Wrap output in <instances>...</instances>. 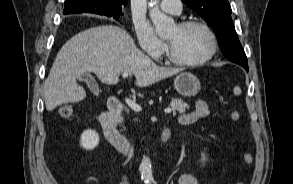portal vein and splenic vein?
<instances>
[{
  "mask_svg": "<svg viewBox=\"0 0 293 184\" xmlns=\"http://www.w3.org/2000/svg\"><path fill=\"white\" fill-rule=\"evenodd\" d=\"M129 74L130 73H128V72H124L122 76H123V78H126V77H128ZM125 101H126L127 105L131 109H133L134 111H137V112L141 111V106L139 104H137L135 101H132L131 99H128V98H126ZM164 111H165V113L170 114L173 111V109L166 108Z\"/></svg>",
  "mask_w": 293,
  "mask_h": 184,
  "instance_id": "1",
  "label": "portal vein and splenic vein"
}]
</instances>
